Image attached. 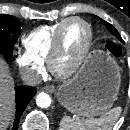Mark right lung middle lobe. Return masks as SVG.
Masks as SVG:
<instances>
[{
	"label": "right lung middle lobe",
	"instance_id": "obj_1",
	"mask_svg": "<svg viewBox=\"0 0 130 130\" xmlns=\"http://www.w3.org/2000/svg\"><path fill=\"white\" fill-rule=\"evenodd\" d=\"M20 21L12 15H0V54L13 56V47L21 34Z\"/></svg>",
	"mask_w": 130,
	"mask_h": 130
}]
</instances>
